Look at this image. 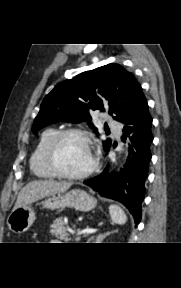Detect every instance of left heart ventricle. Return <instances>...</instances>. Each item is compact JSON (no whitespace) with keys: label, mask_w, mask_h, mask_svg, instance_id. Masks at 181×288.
<instances>
[{"label":"left heart ventricle","mask_w":181,"mask_h":288,"mask_svg":"<svg viewBox=\"0 0 181 288\" xmlns=\"http://www.w3.org/2000/svg\"><path fill=\"white\" fill-rule=\"evenodd\" d=\"M57 158L61 167L70 173L82 172L92 162L89 146L78 136H68L62 140Z\"/></svg>","instance_id":"1"}]
</instances>
